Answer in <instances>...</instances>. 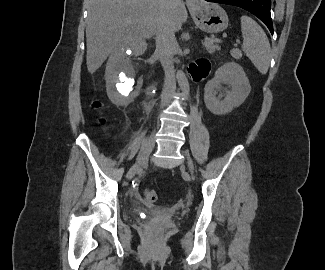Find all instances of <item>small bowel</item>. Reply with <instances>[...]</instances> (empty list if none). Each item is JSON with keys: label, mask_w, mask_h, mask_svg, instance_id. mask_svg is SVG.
Here are the masks:
<instances>
[{"label": "small bowel", "mask_w": 325, "mask_h": 270, "mask_svg": "<svg viewBox=\"0 0 325 270\" xmlns=\"http://www.w3.org/2000/svg\"><path fill=\"white\" fill-rule=\"evenodd\" d=\"M209 71L210 63L205 58H199L188 66V72L195 81L205 78Z\"/></svg>", "instance_id": "small-bowel-1"}]
</instances>
